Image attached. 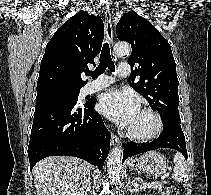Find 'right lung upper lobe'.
<instances>
[{
    "instance_id": "obj_1",
    "label": "right lung upper lobe",
    "mask_w": 211,
    "mask_h": 195,
    "mask_svg": "<svg viewBox=\"0 0 211 195\" xmlns=\"http://www.w3.org/2000/svg\"><path fill=\"white\" fill-rule=\"evenodd\" d=\"M104 25L99 16L80 11L64 23L47 43L41 61L37 93L83 87L81 74L100 53Z\"/></svg>"
}]
</instances>
